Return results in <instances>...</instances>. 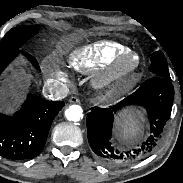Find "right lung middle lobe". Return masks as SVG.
Returning a JSON list of instances; mask_svg holds the SVG:
<instances>
[{
	"instance_id": "dd1d6c3e",
	"label": "right lung middle lobe",
	"mask_w": 183,
	"mask_h": 183,
	"mask_svg": "<svg viewBox=\"0 0 183 183\" xmlns=\"http://www.w3.org/2000/svg\"><path fill=\"white\" fill-rule=\"evenodd\" d=\"M35 25L16 27L11 29L0 41V58L17 52L19 48L31 37L38 33Z\"/></svg>"
}]
</instances>
